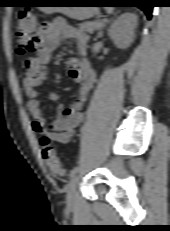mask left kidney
<instances>
[{"instance_id":"left-kidney-1","label":"left kidney","mask_w":170,"mask_h":231,"mask_svg":"<svg viewBox=\"0 0 170 231\" xmlns=\"http://www.w3.org/2000/svg\"><path fill=\"white\" fill-rule=\"evenodd\" d=\"M136 26L137 16L131 13H124L113 22L108 30V35L118 48L125 49L134 40Z\"/></svg>"}]
</instances>
